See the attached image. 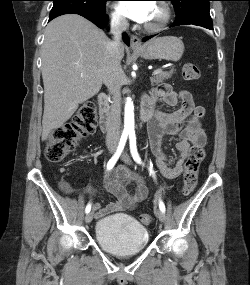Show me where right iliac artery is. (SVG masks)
I'll return each instance as SVG.
<instances>
[{
    "mask_svg": "<svg viewBox=\"0 0 250 285\" xmlns=\"http://www.w3.org/2000/svg\"><path fill=\"white\" fill-rule=\"evenodd\" d=\"M127 137H128V134H123L121 136V139H120V142H119V145L117 147V150H116L115 154L112 156V158L107 163V170H111L114 167V165L116 164L119 156L121 155V153H122V151H123V149L125 147V144H126V141H127ZM90 210H91V205L88 204L86 206L85 212L89 213Z\"/></svg>",
    "mask_w": 250,
    "mask_h": 285,
    "instance_id": "right-iliac-artery-1",
    "label": "right iliac artery"
}]
</instances>
